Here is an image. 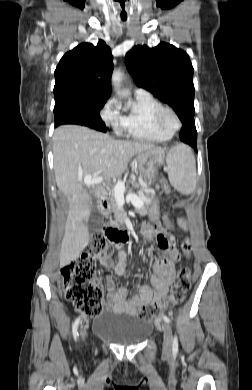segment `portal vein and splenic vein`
I'll return each mask as SVG.
<instances>
[{
  "instance_id": "portal-vein-and-splenic-vein-1",
  "label": "portal vein and splenic vein",
  "mask_w": 252,
  "mask_h": 390,
  "mask_svg": "<svg viewBox=\"0 0 252 390\" xmlns=\"http://www.w3.org/2000/svg\"><path fill=\"white\" fill-rule=\"evenodd\" d=\"M100 172L93 175H88L84 178L85 186H94L103 182V177L99 176ZM125 184L122 181H118L114 187L115 196L119 199V202H124ZM126 201L131 202L135 207L141 208L143 206L142 200L134 193H129L126 196Z\"/></svg>"
}]
</instances>
